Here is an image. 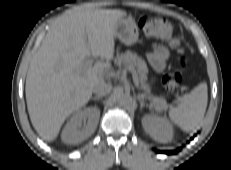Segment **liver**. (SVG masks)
Returning a JSON list of instances; mask_svg holds the SVG:
<instances>
[{
	"label": "liver",
	"instance_id": "1",
	"mask_svg": "<svg viewBox=\"0 0 231 170\" xmlns=\"http://www.w3.org/2000/svg\"><path fill=\"white\" fill-rule=\"evenodd\" d=\"M126 12L77 6L58 17L34 55L26 78V101L34 129L57 138L65 120L90 100L93 87L111 68L115 26ZM106 60L93 67L85 59Z\"/></svg>",
	"mask_w": 231,
	"mask_h": 170
}]
</instances>
